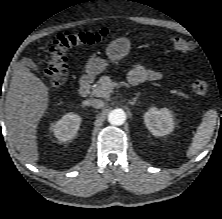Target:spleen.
Wrapping results in <instances>:
<instances>
[{"label": "spleen", "mask_w": 222, "mask_h": 219, "mask_svg": "<svg viewBox=\"0 0 222 219\" xmlns=\"http://www.w3.org/2000/svg\"><path fill=\"white\" fill-rule=\"evenodd\" d=\"M217 117L215 110H209L204 114L202 123L198 126L192 143L187 150V157L190 158L196 155L209 142L216 126Z\"/></svg>", "instance_id": "spleen-1"}]
</instances>
